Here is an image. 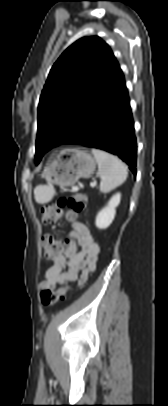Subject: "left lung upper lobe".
Masks as SVG:
<instances>
[{
    "instance_id": "left-lung-upper-lobe-1",
    "label": "left lung upper lobe",
    "mask_w": 168,
    "mask_h": 406,
    "mask_svg": "<svg viewBox=\"0 0 168 406\" xmlns=\"http://www.w3.org/2000/svg\"><path fill=\"white\" fill-rule=\"evenodd\" d=\"M119 68L109 46L97 36L79 39L62 53L40 97L36 163L81 129Z\"/></svg>"
}]
</instances>
